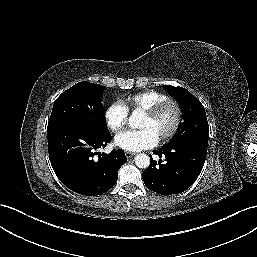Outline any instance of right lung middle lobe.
I'll list each match as a JSON object with an SVG mask.
<instances>
[{"label": "right lung middle lobe", "instance_id": "right-lung-middle-lobe-1", "mask_svg": "<svg viewBox=\"0 0 257 257\" xmlns=\"http://www.w3.org/2000/svg\"><path fill=\"white\" fill-rule=\"evenodd\" d=\"M104 87L90 82H79L62 93L54 102L48 125L79 122L98 133H108L105 107L102 105Z\"/></svg>", "mask_w": 257, "mask_h": 257}]
</instances>
